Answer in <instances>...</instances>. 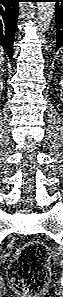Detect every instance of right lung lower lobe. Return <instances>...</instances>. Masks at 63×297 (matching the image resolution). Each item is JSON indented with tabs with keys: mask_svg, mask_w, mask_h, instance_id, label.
Here are the masks:
<instances>
[{
	"mask_svg": "<svg viewBox=\"0 0 63 297\" xmlns=\"http://www.w3.org/2000/svg\"><path fill=\"white\" fill-rule=\"evenodd\" d=\"M20 0H0V45L12 60L13 41Z\"/></svg>",
	"mask_w": 63,
	"mask_h": 297,
	"instance_id": "1",
	"label": "right lung lower lobe"
}]
</instances>
